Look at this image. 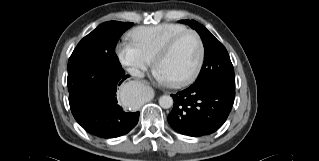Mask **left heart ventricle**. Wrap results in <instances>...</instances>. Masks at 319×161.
Segmentation results:
<instances>
[{
	"label": "left heart ventricle",
	"mask_w": 319,
	"mask_h": 161,
	"mask_svg": "<svg viewBox=\"0 0 319 161\" xmlns=\"http://www.w3.org/2000/svg\"><path fill=\"white\" fill-rule=\"evenodd\" d=\"M198 58V45L193 35L183 37L168 56L162 59L157 69L167 80H173L189 73Z\"/></svg>",
	"instance_id": "b2bd125f"
}]
</instances>
